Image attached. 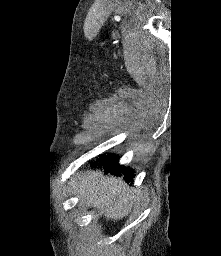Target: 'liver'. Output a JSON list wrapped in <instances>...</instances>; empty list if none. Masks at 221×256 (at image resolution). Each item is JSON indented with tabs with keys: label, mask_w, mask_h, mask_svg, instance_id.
<instances>
[{
	"label": "liver",
	"mask_w": 221,
	"mask_h": 256,
	"mask_svg": "<svg viewBox=\"0 0 221 256\" xmlns=\"http://www.w3.org/2000/svg\"><path fill=\"white\" fill-rule=\"evenodd\" d=\"M73 191L85 199L89 207L111 220L127 216L135 200L134 190L121 178L104 175L99 170L78 175Z\"/></svg>",
	"instance_id": "6515ba94"
}]
</instances>
